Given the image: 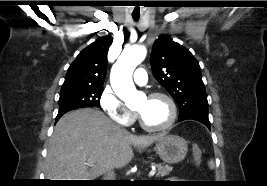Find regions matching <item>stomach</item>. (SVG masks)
<instances>
[{
	"label": "stomach",
	"instance_id": "1",
	"mask_svg": "<svg viewBox=\"0 0 267 186\" xmlns=\"http://www.w3.org/2000/svg\"><path fill=\"white\" fill-rule=\"evenodd\" d=\"M154 149L164 162L173 164L185 158L188 145L182 137L177 135H164L157 140Z\"/></svg>",
	"mask_w": 267,
	"mask_h": 186
}]
</instances>
